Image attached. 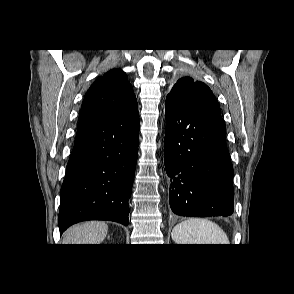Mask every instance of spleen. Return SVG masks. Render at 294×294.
<instances>
[{"mask_svg": "<svg viewBox=\"0 0 294 294\" xmlns=\"http://www.w3.org/2000/svg\"><path fill=\"white\" fill-rule=\"evenodd\" d=\"M176 244H229L225 232L204 218H189L177 224L171 233Z\"/></svg>", "mask_w": 294, "mask_h": 294, "instance_id": "1", "label": "spleen"}]
</instances>
